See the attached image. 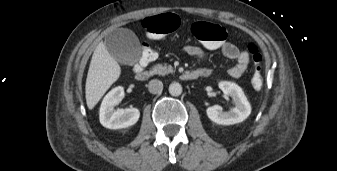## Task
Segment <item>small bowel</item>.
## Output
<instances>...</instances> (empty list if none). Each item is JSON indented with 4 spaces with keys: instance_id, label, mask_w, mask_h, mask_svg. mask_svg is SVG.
Wrapping results in <instances>:
<instances>
[{
    "instance_id": "c3829d8e",
    "label": "small bowel",
    "mask_w": 337,
    "mask_h": 171,
    "mask_svg": "<svg viewBox=\"0 0 337 171\" xmlns=\"http://www.w3.org/2000/svg\"><path fill=\"white\" fill-rule=\"evenodd\" d=\"M219 50L224 57L235 61V64L228 71L229 75L233 78L241 77L246 71L250 62L249 54L246 51L240 50L232 42H224L223 46L219 48ZM185 52L201 60H204L207 57L205 50L196 45L186 46Z\"/></svg>"
}]
</instances>
